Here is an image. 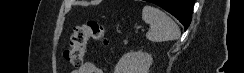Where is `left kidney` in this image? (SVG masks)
<instances>
[{
	"label": "left kidney",
	"instance_id": "5707ae66",
	"mask_svg": "<svg viewBox=\"0 0 244 73\" xmlns=\"http://www.w3.org/2000/svg\"><path fill=\"white\" fill-rule=\"evenodd\" d=\"M152 57L143 51L128 52L118 61L114 73H148Z\"/></svg>",
	"mask_w": 244,
	"mask_h": 73
}]
</instances>
